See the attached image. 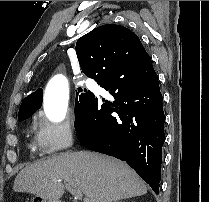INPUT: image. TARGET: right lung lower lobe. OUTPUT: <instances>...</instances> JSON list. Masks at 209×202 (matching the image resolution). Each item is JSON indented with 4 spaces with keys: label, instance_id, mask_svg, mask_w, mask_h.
Instances as JSON below:
<instances>
[{
    "label": "right lung lower lobe",
    "instance_id": "right-lung-lower-lobe-1",
    "mask_svg": "<svg viewBox=\"0 0 209 202\" xmlns=\"http://www.w3.org/2000/svg\"><path fill=\"white\" fill-rule=\"evenodd\" d=\"M141 73L118 85L107 78L100 85L114 101L100 105L93 95L83 113L75 116L81 144L125 161L159 194L165 115L158 76L150 56L141 59Z\"/></svg>",
    "mask_w": 209,
    "mask_h": 202
}]
</instances>
